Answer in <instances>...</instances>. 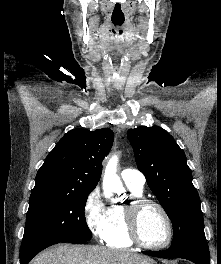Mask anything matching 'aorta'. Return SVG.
I'll return each mask as SVG.
<instances>
[{
  "label": "aorta",
  "mask_w": 221,
  "mask_h": 264,
  "mask_svg": "<svg viewBox=\"0 0 221 264\" xmlns=\"http://www.w3.org/2000/svg\"><path fill=\"white\" fill-rule=\"evenodd\" d=\"M119 156L113 155L107 162L103 176V191L107 198L113 196L115 192L122 190V182L117 175Z\"/></svg>",
  "instance_id": "762f6f07"
}]
</instances>
